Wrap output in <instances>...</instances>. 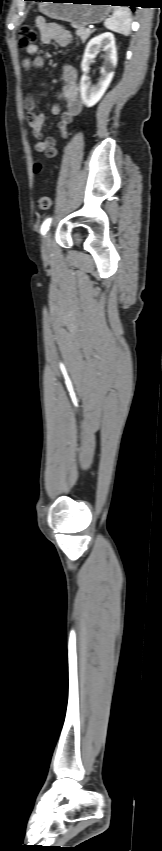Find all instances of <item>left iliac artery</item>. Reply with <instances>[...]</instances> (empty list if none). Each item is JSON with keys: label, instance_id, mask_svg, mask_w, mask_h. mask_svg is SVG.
<instances>
[{"label": "left iliac artery", "instance_id": "44dca946", "mask_svg": "<svg viewBox=\"0 0 162 851\" xmlns=\"http://www.w3.org/2000/svg\"><path fill=\"white\" fill-rule=\"evenodd\" d=\"M51 220H52L51 218H48L43 222V224L41 226V234L42 235H44L48 231Z\"/></svg>", "mask_w": 162, "mask_h": 851}]
</instances>
